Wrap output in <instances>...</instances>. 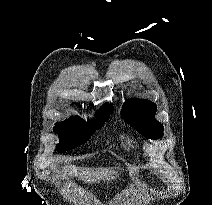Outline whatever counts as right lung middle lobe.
Listing matches in <instances>:
<instances>
[{
  "mask_svg": "<svg viewBox=\"0 0 212 205\" xmlns=\"http://www.w3.org/2000/svg\"><path fill=\"white\" fill-rule=\"evenodd\" d=\"M113 107H103L95 115L94 121L85 122L79 117H71L60 123H56L54 131L60 136V142L56 151L65 152L85 143L95 130L100 129L109 119Z\"/></svg>",
  "mask_w": 212,
  "mask_h": 205,
  "instance_id": "right-lung-middle-lobe-1",
  "label": "right lung middle lobe"
}]
</instances>
